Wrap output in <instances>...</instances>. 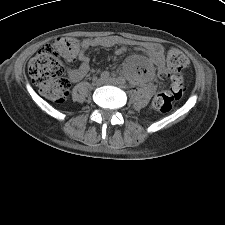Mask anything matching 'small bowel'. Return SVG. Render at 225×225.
Instances as JSON below:
<instances>
[{"label": "small bowel", "instance_id": "small-bowel-1", "mask_svg": "<svg viewBox=\"0 0 225 225\" xmlns=\"http://www.w3.org/2000/svg\"><path fill=\"white\" fill-rule=\"evenodd\" d=\"M119 44V40L116 37H96L87 38L82 42V50L79 55L80 65L77 69L69 70L68 76L72 82H77L84 78L89 72V57L86 52L94 47L111 48ZM140 49L144 51L149 59L148 64L150 66H162L163 64V48L158 44H144L140 46ZM126 47L120 46L115 50V55L119 56L126 52ZM133 69L130 70V75L135 76Z\"/></svg>", "mask_w": 225, "mask_h": 225}]
</instances>
